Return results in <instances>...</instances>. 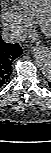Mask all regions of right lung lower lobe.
Masks as SVG:
<instances>
[{
  "label": "right lung lower lobe",
  "instance_id": "98d812e1",
  "mask_svg": "<svg viewBox=\"0 0 51 153\" xmlns=\"http://www.w3.org/2000/svg\"><path fill=\"white\" fill-rule=\"evenodd\" d=\"M21 47L5 43L0 37V87L6 84L12 74V62L22 54Z\"/></svg>",
  "mask_w": 51,
  "mask_h": 153
}]
</instances>
